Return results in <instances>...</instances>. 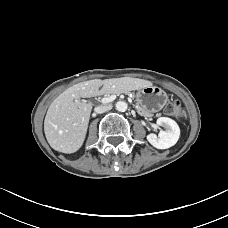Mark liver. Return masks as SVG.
Listing matches in <instances>:
<instances>
[{"instance_id":"1","label":"liver","mask_w":228,"mask_h":228,"mask_svg":"<svg viewBox=\"0 0 228 228\" xmlns=\"http://www.w3.org/2000/svg\"><path fill=\"white\" fill-rule=\"evenodd\" d=\"M101 86L103 88L99 90ZM147 86H152V83L139 78L124 77L93 79L67 88L51 103L45 116L44 132L49 145L54 150L67 154L81 148L92 110V104L81 102V97L138 90Z\"/></svg>"}]
</instances>
